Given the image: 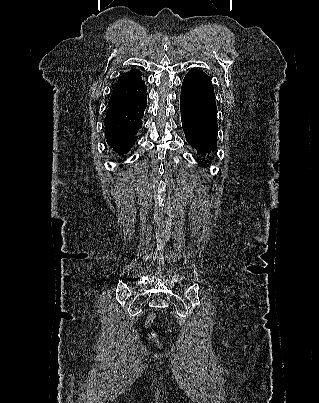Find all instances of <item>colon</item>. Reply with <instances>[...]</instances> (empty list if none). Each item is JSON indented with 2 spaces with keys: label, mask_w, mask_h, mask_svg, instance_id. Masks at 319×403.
I'll list each match as a JSON object with an SVG mask.
<instances>
[{
  "label": "colon",
  "mask_w": 319,
  "mask_h": 403,
  "mask_svg": "<svg viewBox=\"0 0 319 403\" xmlns=\"http://www.w3.org/2000/svg\"><path fill=\"white\" fill-rule=\"evenodd\" d=\"M149 318L152 319V318H153V315H151ZM152 337H154V336H152Z\"/></svg>",
  "instance_id": "obj_1"
}]
</instances>
